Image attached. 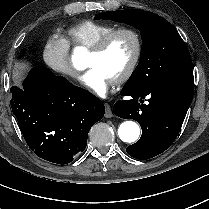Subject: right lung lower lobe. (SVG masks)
Listing matches in <instances>:
<instances>
[{
    "mask_svg": "<svg viewBox=\"0 0 209 209\" xmlns=\"http://www.w3.org/2000/svg\"><path fill=\"white\" fill-rule=\"evenodd\" d=\"M10 91L26 143L38 157L57 164L84 151L90 128L105 113L99 98L42 66L30 71L23 88Z\"/></svg>",
    "mask_w": 209,
    "mask_h": 209,
    "instance_id": "obj_1",
    "label": "right lung lower lobe"
}]
</instances>
